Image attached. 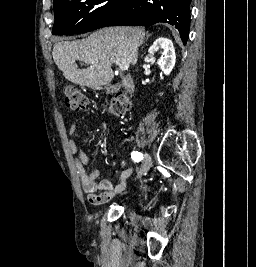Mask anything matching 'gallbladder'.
<instances>
[{"mask_svg": "<svg viewBox=\"0 0 256 267\" xmlns=\"http://www.w3.org/2000/svg\"><path fill=\"white\" fill-rule=\"evenodd\" d=\"M106 94H114L117 90V86H110V88H105Z\"/></svg>", "mask_w": 256, "mask_h": 267, "instance_id": "gallbladder-1", "label": "gallbladder"}]
</instances>
